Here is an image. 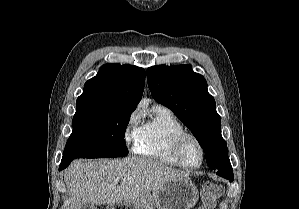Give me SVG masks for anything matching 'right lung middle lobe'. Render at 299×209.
<instances>
[{"mask_svg": "<svg viewBox=\"0 0 299 209\" xmlns=\"http://www.w3.org/2000/svg\"><path fill=\"white\" fill-rule=\"evenodd\" d=\"M130 117V111L76 108L62 159L128 155L124 136Z\"/></svg>", "mask_w": 299, "mask_h": 209, "instance_id": "1", "label": "right lung middle lobe"}]
</instances>
